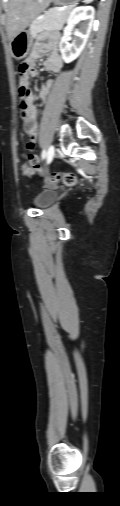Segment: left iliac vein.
Returning <instances> with one entry per match:
<instances>
[{"mask_svg":"<svg viewBox=\"0 0 120 506\" xmlns=\"http://www.w3.org/2000/svg\"><path fill=\"white\" fill-rule=\"evenodd\" d=\"M55 155V148L54 146H50L47 151V162L50 163Z\"/></svg>","mask_w":120,"mask_h":506,"instance_id":"left-iliac-vein-1","label":"left iliac vein"}]
</instances>
